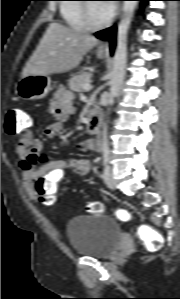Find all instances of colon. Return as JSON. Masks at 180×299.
Wrapping results in <instances>:
<instances>
[{
  "mask_svg": "<svg viewBox=\"0 0 180 299\" xmlns=\"http://www.w3.org/2000/svg\"><path fill=\"white\" fill-rule=\"evenodd\" d=\"M30 124V116L27 112L20 108H13L8 111L5 131L7 134L15 136L28 128ZM38 197L45 205H52L56 201L57 185L55 182H46L39 184L37 187ZM87 210L91 214H101L104 206L100 202H91L87 205ZM118 217L123 221H130L131 214L119 210ZM138 234L144 241L146 247L150 251H158L163 246V236L148 224H140L138 226Z\"/></svg>",
  "mask_w": 180,
  "mask_h": 299,
  "instance_id": "obj_1",
  "label": "colon"
}]
</instances>
